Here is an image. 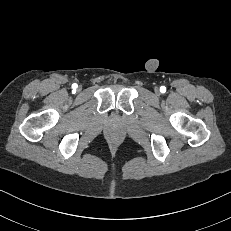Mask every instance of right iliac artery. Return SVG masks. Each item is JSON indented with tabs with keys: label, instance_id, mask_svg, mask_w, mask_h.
<instances>
[{
	"label": "right iliac artery",
	"instance_id": "1",
	"mask_svg": "<svg viewBox=\"0 0 231 231\" xmlns=\"http://www.w3.org/2000/svg\"><path fill=\"white\" fill-rule=\"evenodd\" d=\"M72 88H73V89H76V88H77V84L74 83V84L72 85Z\"/></svg>",
	"mask_w": 231,
	"mask_h": 231
}]
</instances>
